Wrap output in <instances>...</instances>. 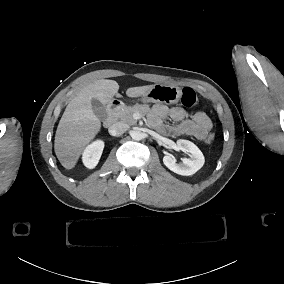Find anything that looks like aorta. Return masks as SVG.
<instances>
[{"label": "aorta", "instance_id": "762f6f07", "mask_svg": "<svg viewBox=\"0 0 284 284\" xmlns=\"http://www.w3.org/2000/svg\"><path fill=\"white\" fill-rule=\"evenodd\" d=\"M131 137L132 139L139 141L144 138V133H142L141 131H133L131 133Z\"/></svg>", "mask_w": 284, "mask_h": 284}]
</instances>
